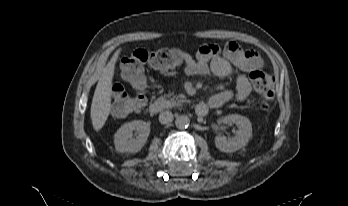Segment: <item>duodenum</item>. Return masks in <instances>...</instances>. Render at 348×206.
Listing matches in <instances>:
<instances>
[{
  "label": "duodenum",
  "mask_w": 348,
  "mask_h": 206,
  "mask_svg": "<svg viewBox=\"0 0 348 206\" xmlns=\"http://www.w3.org/2000/svg\"><path fill=\"white\" fill-rule=\"evenodd\" d=\"M167 107L166 103L162 100H156L154 102H152L149 106V111L151 114H157L159 112H162L163 110H165ZM211 109L210 104H198L196 107V113L199 116H204L206 115L209 110Z\"/></svg>",
  "instance_id": "410a0bca"
}]
</instances>
